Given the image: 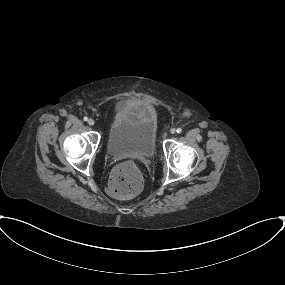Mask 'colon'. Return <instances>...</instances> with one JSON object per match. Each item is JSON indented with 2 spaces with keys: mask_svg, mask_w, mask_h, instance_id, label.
I'll return each mask as SVG.
<instances>
[{
  "mask_svg": "<svg viewBox=\"0 0 285 285\" xmlns=\"http://www.w3.org/2000/svg\"><path fill=\"white\" fill-rule=\"evenodd\" d=\"M143 189V176L140 169L132 163L117 166L108 181V191L121 199L132 198Z\"/></svg>",
  "mask_w": 285,
  "mask_h": 285,
  "instance_id": "5ec220e1",
  "label": "colon"
}]
</instances>
